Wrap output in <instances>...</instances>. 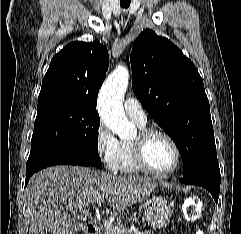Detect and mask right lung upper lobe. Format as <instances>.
<instances>
[{
	"mask_svg": "<svg viewBox=\"0 0 241 234\" xmlns=\"http://www.w3.org/2000/svg\"><path fill=\"white\" fill-rule=\"evenodd\" d=\"M108 65L107 49L100 42L68 44L51 60L37 107L61 104L97 112L96 97Z\"/></svg>",
	"mask_w": 241,
	"mask_h": 234,
	"instance_id": "right-lung-upper-lobe-1",
	"label": "right lung upper lobe"
}]
</instances>
